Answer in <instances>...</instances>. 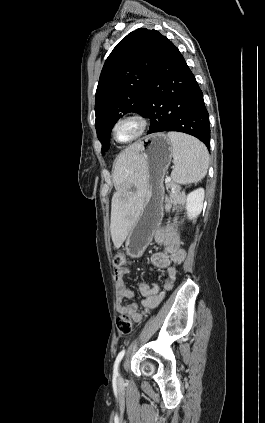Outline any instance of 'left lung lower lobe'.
<instances>
[{
  "instance_id": "obj_1",
  "label": "left lung lower lobe",
  "mask_w": 265,
  "mask_h": 423,
  "mask_svg": "<svg viewBox=\"0 0 265 423\" xmlns=\"http://www.w3.org/2000/svg\"><path fill=\"white\" fill-rule=\"evenodd\" d=\"M141 115L151 119L149 134L184 132L210 146L202 91L183 56L166 37L144 93Z\"/></svg>"
}]
</instances>
